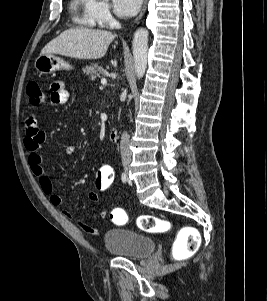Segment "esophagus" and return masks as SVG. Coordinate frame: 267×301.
I'll return each instance as SVG.
<instances>
[{
  "label": "esophagus",
  "mask_w": 267,
  "mask_h": 301,
  "mask_svg": "<svg viewBox=\"0 0 267 301\" xmlns=\"http://www.w3.org/2000/svg\"><path fill=\"white\" fill-rule=\"evenodd\" d=\"M146 2H147V0H145V4H146ZM145 4H144V7L142 8V10H141L139 16L136 18L135 23H138L139 20L142 18L143 14H144V12H145Z\"/></svg>",
  "instance_id": "obj_1"
}]
</instances>
